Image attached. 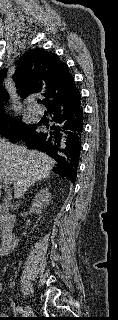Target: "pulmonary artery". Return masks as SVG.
Listing matches in <instances>:
<instances>
[{
	"label": "pulmonary artery",
	"mask_w": 118,
	"mask_h": 320,
	"mask_svg": "<svg viewBox=\"0 0 118 320\" xmlns=\"http://www.w3.org/2000/svg\"><path fill=\"white\" fill-rule=\"evenodd\" d=\"M27 109H28V111H29L31 114H33V115L36 116V117H38V116L41 115V110H40V108H39L37 105H35V104H28V105H27Z\"/></svg>",
	"instance_id": "obj_1"
}]
</instances>
